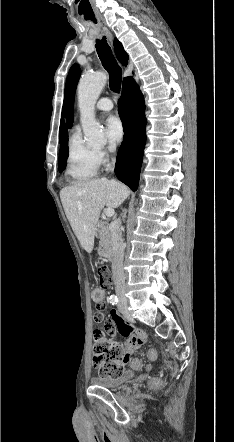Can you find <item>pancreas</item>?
I'll return each mask as SVG.
<instances>
[{
    "label": "pancreas",
    "instance_id": "cf45deb5",
    "mask_svg": "<svg viewBox=\"0 0 234 442\" xmlns=\"http://www.w3.org/2000/svg\"><path fill=\"white\" fill-rule=\"evenodd\" d=\"M111 234L107 223L103 224L101 240L99 243V252L103 256H107L111 250Z\"/></svg>",
    "mask_w": 234,
    "mask_h": 442
}]
</instances>
